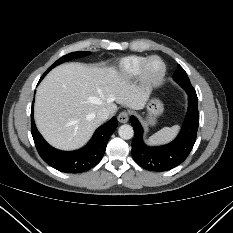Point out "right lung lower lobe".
Here are the masks:
<instances>
[{
    "label": "right lung lower lobe",
    "instance_id": "1",
    "mask_svg": "<svg viewBox=\"0 0 233 233\" xmlns=\"http://www.w3.org/2000/svg\"><path fill=\"white\" fill-rule=\"evenodd\" d=\"M31 123L32 136L41 158L51 167L66 173H80L96 166L104 155L108 139L117 127V119L113 117L95 131L92 139L85 147L67 152L51 147L43 139L35 126L33 109L31 112Z\"/></svg>",
    "mask_w": 233,
    "mask_h": 233
}]
</instances>
